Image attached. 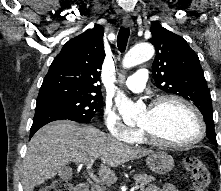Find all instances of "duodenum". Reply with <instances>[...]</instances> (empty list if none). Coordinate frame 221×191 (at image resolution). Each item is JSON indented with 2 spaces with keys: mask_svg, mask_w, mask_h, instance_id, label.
<instances>
[{
  "mask_svg": "<svg viewBox=\"0 0 221 191\" xmlns=\"http://www.w3.org/2000/svg\"><path fill=\"white\" fill-rule=\"evenodd\" d=\"M89 189V184L87 182H80L75 186L74 191H89Z\"/></svg>",
  "mask_w": 221,
  "mask_h": 191,
  "instance_id": "duodenum-1",
  "label": "duodenum"
}]
</instances>
